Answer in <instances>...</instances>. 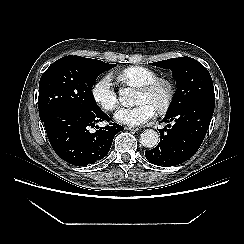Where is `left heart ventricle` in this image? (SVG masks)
I'll return each mask as SVG.
<instances>
[{
	"instance_id": "obj_1",
	"label": "left heart ventricle",
	"mask_w": 244,
	"mask_h": 244,
	"mask_svg": "<svg viewBox=\"0 0 244 244\" xmlns=\"http://www.w3.org/2000/svg\"><path fill=\"white\" fill-rule=\"evenodd\" d=\"M165 92L163 89L158 90L154 94L148 95L139 91L137 96V103H148L156 109V107L163 101Z\"/></svg>"
}]
</instances>
